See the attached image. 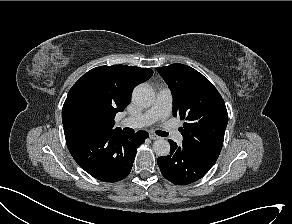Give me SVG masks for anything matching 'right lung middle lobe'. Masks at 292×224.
<instances>
[{
	"label": "right lung middle lobe",
	"instance_id": "1",
	"mask_svg": "<svg viewBox=\"0 0 292 224\" xmlns=\"http://www.w3.org/2000/svg\"><path fill=\"white\" fill-rule=\"evenodd\" d=\"M68 124L81 133H95L102 131V111L90 99L78 97L67 109Z\"/></svg>",
	"mask_w": 292,
	"mask_h": 224
}]
</instances>
